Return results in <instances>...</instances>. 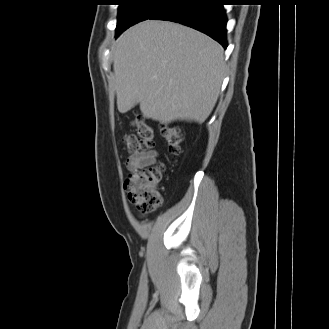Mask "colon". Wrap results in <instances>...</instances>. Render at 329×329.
<instances>
[{
    "label": "colon",
    "instance_id": "5ec220e1",
    "mask_svg": "<svg viewBox=\"0 0 329 329\" xmlns=\"http://www.w3.org/2000/svg\"><path fill=\"white\" fill-rule=\"evenodd\" d=\"M132 124L137 129V134L123 136L126 149L138 153L151 148L154 144L153 127L148 125L140 116H136ZM161 133L169 154L173 156L180 154L183 141L180 129L174 125H164L161 128ZM163 170L162 164L135 169L125 181L124 189L128 194V199L143 213L151 212L162 204L157 185Z\"/></svg>",
    "mask_w": 329,
    "mask_h": 329
}]
</instances>
